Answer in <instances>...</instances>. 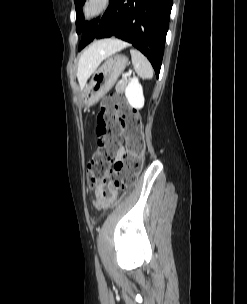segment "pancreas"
<instances>
[{
	"label": "pancreas",
	"instance_id": "obj_1",
	"mask_svg": "<svg viewBox=\"0 0 247 304\" xmlns=\"http://www.w3.org/2000/svg\"><path fill=\"white\" fill-rule=\"evenodd\" d=\"M128 80L126 78H123L121 81H119L115 87L116 92L121 93L124 91Z\"/></svg>",
	"mask_w": 247,
	"mask_h": 304
}]
</instances>
